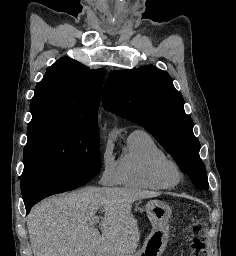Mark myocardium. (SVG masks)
I'll return each mask as SVG.
<instances>
[{
	"label": "myocardium",
	"instance_id": "obj_1",
	"mask_svg": "<svg viewBox=\"0 0 236 256\" xmlns=\"http://www.w3.org/2000/svg\"><path fill=\"white\" fill-rule=\"evenodd\" d=\"M155 175L163 182L176 185L183 177V170L175 160L168 158L156 164Z\"/></svg>",
	"mask_w": 236,
	"mask_h": 256
}]
</instances>
